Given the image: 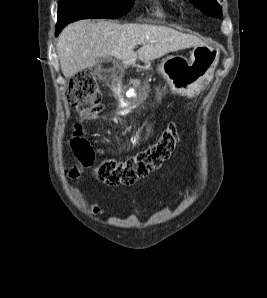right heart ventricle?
<instances>
[{
    "mask_svg": "<svg viewBox=\"0 0 267 298\" xmlns=\"http://www.w3.org/2000/svg\"><path fill=\"white\" fill-rule=\"evenodd\" d=\"M172 7H173V6H172ZM164 12H165V10H164V7H163L162 5L156 7L155 13H156L157 15H160V16H161V15L164 14Z\"/></svg>",
    "mask_w": 267,
    "mask_h": 298,
    "instance_id": "1",
    "label": "right heart ventricle"
}]
</instances>
